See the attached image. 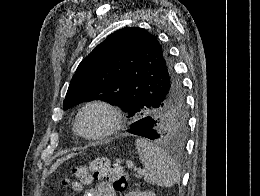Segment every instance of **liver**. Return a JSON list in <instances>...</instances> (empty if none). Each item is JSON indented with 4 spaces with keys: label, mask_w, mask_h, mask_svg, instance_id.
Returning a JSON list of instances; mask_svg holds the SVG:
<instances>
[{
    "label": "liver",
    "mask_w": 260,
    "mask_h": 196,
    "mask_svg": "<svg viewBox=\"0 0 260 196\" xmlns=\"http://www.w3.org/2000/svg\"><path fill=\"white\" fill-rule=\"evenodd\" d=\"M81 150H85V148H81ZM73 156H76V154H68V156H65V158H60V160H57V162H55V164H53V166H51L49 172L51 174V172H55V170H57L58 166H61V164H63V162H66V160H70V158H73Z\"/></svg>",
    "instance_id": "obj_1"
}]
</instances>
